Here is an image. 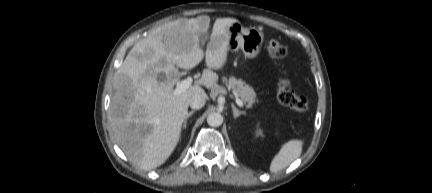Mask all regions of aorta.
<instances>
[{"label":"aorta","instance_id":"obj_1","mask_svg":"<svg viewBox=\"0 0 432 193\" xmlns=\"http://www.w3.org/2000/svg\"><path fill=\"white\" fill-rule=\"evenodd\" d=\"M207 123L212 127H219L223 123V116L218 112H212L207 116Z\"/></svg>","mask_w":432,"mask_h":193}]
</instances>
